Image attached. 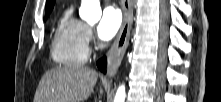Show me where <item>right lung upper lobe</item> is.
Masks as SVG:
<instances>
[{
    "label": "right lung upper lobe",
    "instance_id": "cb5924a9",
    "mask_svg": "<svg viewBox=\"0 0 221 102\" xmlns=\"http://www.w3.org/2000/svg\"><path fill=\"white\" fill-rule=\"evenodd\" d=\"M55 0H47L46 2V13L51 12L54 6Z\"/></svg>",
    "mask_w": 221,
    "mask_h": 102
}]
</instances>
